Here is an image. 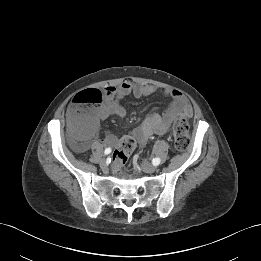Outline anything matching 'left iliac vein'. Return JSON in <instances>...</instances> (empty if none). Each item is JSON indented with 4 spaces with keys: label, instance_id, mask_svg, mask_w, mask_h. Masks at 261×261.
<instances>
[{
    "label": "left iliac vein",
    "instance_id": "left-iliac-vein-1",
    "mask_svg": "<svg viewBox=\"0 0 261 261\" xmlns=\"http://www.w3.org/2000/svg\"><path fill=\"white\" fill-rule=\"evenodd\" d=\"M142 170L146 173H153L157 170V167L145 160L141 161V164H140Z\"/></svg>",
    "mask_w": 261,
    "mask_h": 261
}]
</instances>
